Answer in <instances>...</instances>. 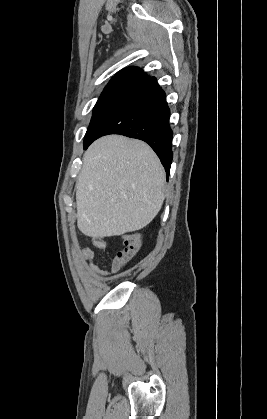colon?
Masks as SVG:
<instances>
[{
	"instance_id": "obj_1",
	"label": "colon",
	"mask_w": 267,
	"mask_h": 419,
	"mask_svg": "<svg viewBox=\"0 0 267 419\" xmlns=\"http://www.w3.org/2000/svg\"><path fill=\"white\" fill-rule=\"evenodd\" d=\"M141 246V238L137 233H126L123 235V247L116 254L115 258L122 266L138 252Z\"/></svg>"
}]
</instances>
